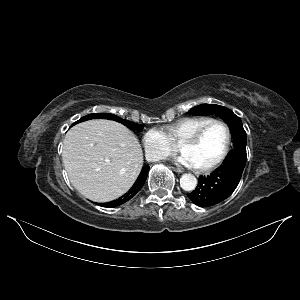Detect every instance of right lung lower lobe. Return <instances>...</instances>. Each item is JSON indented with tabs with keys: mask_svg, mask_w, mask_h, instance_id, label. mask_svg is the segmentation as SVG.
I'll list each match as a JSON object with an SVG mask.
<instances>
[{
	"mask_svg": "<svg viewBox=\"0 0 300 300\" xmlns=\"http://www.w3.org/2000/svg\"><path fill=\"white\" fill-rule=\"evenodd\" d=\"M148 172H149V166L145 165L142 168L141 173L137 178L136 182L126 194H124L123 196H121L120 198L114 201L108 203H99V205L103 207H116L132 199L141 190L147 178Z\"/></svg>",
	"mask_w": 300,
	"mask_h": 300,
	"instance_id": "98d812e1",
	"label": "right lung lower lobe"
}]
</instances>
